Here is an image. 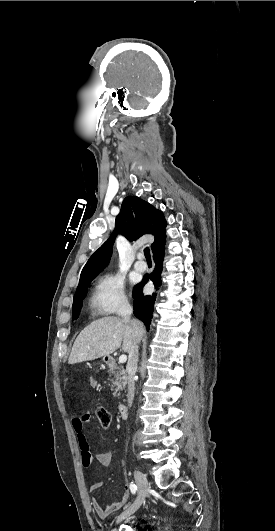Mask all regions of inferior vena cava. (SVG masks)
Listing matches in <instances>:
<instances>
[{"label":"inferior vena cava","mask_w":275,"mask_h":531,"mask_svg":"<svg viewBox=\"0 0 275 531\" xmlns=\"http://www.w3.org/2000/svg\"><path fill=\"white\" fill-rule=\"evenodd\" d=\"M132 307L129 305L128 301L125 303V305H122L120 309V315L123 317L124 321H127V323H131V315H132ZM128 363H127V373H128V393H127V399H128V407H131L134 399V391H135V383H134V377L138 365V357H139V347L137 341H133L131 349L128 351Z\"/></svg>","instance_id":"1"}]
</instances>
